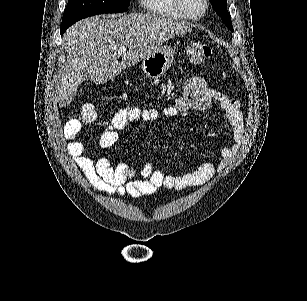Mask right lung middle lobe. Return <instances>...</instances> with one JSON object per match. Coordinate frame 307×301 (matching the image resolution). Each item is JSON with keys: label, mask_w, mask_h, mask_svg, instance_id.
Instances as JSON below:
<instances>
[{"label": "right lung middle lobe", "mask_w": 307, "mask_h": 301, "mask_svg": "<svg viewBox=\"0 0 307 301\" xmlns=\"http://www.w3.org/2000/svg\"><path fill=\"white\" fill-rule=\"evenodd\" d=\"M129 0H68L60 27L61 35L75 22L97 14L128 11Z\"/></svg>", "instance_id": "1"}]
</instances>
